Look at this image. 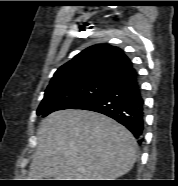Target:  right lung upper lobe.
Instances as JSON below:
<instances>
[{"instance_id":"cb5924a9","label":"right lung upper lobe","mask_w":178,"mask_h":186,"mask_svg":"<svg viewBox=\"0 0 178 186\" xmlns=\"http://www.w3.org/2000/svg\"><path fill=\"white\" fill-rule=\"evenodd\" d=\"M132 62L118 47L97 44L80 52L54 74L45 92L90 83L110 85L134 74Z\"/></svg>"}]
</instances>
